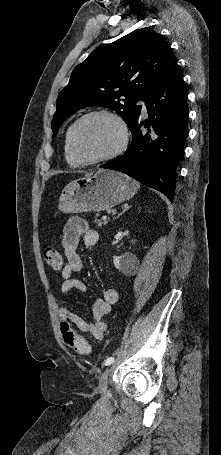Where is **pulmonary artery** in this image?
<instances>
[{
    "instance_id": "pulmonary-artery-1",
    "label": "pulmonary artery",
    "mask_w": 221,
    "mask_h": 455,
    "mask_svg": "<svg viewBox=\"0 0 221 455\" xmlns=\"http://www.w3.org/2000/svg\"><path fill=\"white\" fill-rule=\"evenodd\" d=\"M142 111H143L144 114H146V112H147L146 106L144 104L142 105Z\"/></svg>"
}]
</instances>
